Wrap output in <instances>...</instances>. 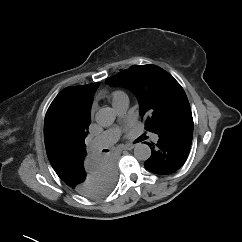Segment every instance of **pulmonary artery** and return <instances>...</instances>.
<instances>
[{
	"mask_svg": "<svg viewBox=\"0 0 242 242\" xmlns=\"http://www.w3.org/2000/svg\"><path fill=\"white\" fill-rule=\"evenodd\" d=\"M128 104H129V99L125 94L119 96L113 102V106L116 112L118 113V115L120 116H123L126 113ZM120 133L121 132L118 128H111L109 130H106L101 135H99L94 139L92 145L95 149L109 147L119 139ZM157 140H158V136H153V141H157Z\"/></svg>",
	"mask_w": 242,
	"mask_h": 242,
	"instance_id": "e3ab8cb5",
	"label": "pulmonary artery"
}]
</instances>
